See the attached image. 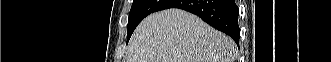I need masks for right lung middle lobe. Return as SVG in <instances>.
<instances>
[{"label":"right lung middle lobe","instance_id":"obj_1","mask_svg":"<svg viewBox=\"0 0 331 62\" xmlns=\"http://www.w3.org/2000/svg\"><path fill=\"white\" fill-rule=\"evenodd\" d=\"M171 0H134L127 25L129 40L137 25L149 14L162 10Z\"/></svg>","mask_w":331,"mask_h":62}]
</instances>
